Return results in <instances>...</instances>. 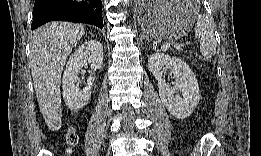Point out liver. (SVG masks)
<instances>
[{"instance_id":"obj_1","label":"liver","mask_w":261,"mask_h":156,"mask_svg":"<svg viewBox=\"0 0 261 156\" xmlns=\"http://www.w3.org/2000/svg\"><path fill=\"white\" fill-rule=\"evenodd\" d=\"M86 30L85 25L51 22L33 32L31 73L40 112L52 131L61 127V73L68 56Z\"/></svg>"}]
</instances>
